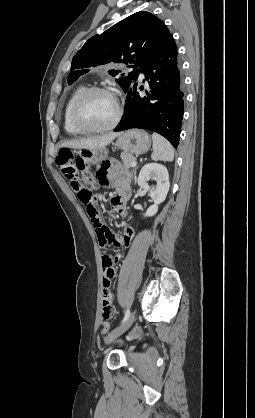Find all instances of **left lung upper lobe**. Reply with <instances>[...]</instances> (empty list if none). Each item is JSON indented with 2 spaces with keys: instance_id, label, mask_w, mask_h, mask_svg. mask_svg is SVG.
Segmentation results:
<instances>
[{
  "instance_id": "5c2ea615",
  "label": "left lung upper lobe",
  "mask_w": 255,
  "mask_h": 418,
  "mask_svg": "<svg viewBox=\"0 0 255 418\" xmlns=\"http://www.w3.org/2000/svg\"><path fill=\"white\" fill-rule=\"evenodd\" d=\"M168 28L149 12H137L118 22L100 35L90 38L75 54L67 82L74 83L89 67L125 63L133 68L127 76L121 70H109L125 92L134 82L137 69L158 53L172 38ZM133 64V65H132Z\"/></svg>"
}]
</instances>
